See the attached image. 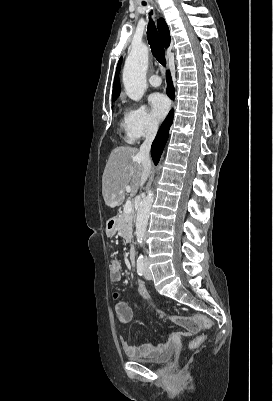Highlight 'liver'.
<instances>
[{
	"label": "liver",
	"instance_id": "liver-1",
	"mask_svg": "<svg viewBox=\"0 0 273 401\" xmlns=\"http://www.w3.org/2000/svg\"><path fill=\"white\" fill-rule=\"evenodd\" d=\"M143 164L138 148L116 146L113 148L102 176V194L107 207H119L125 198L126 186H131V196L138 190Z\"/></svg>",
	"mask_w": 273,
	"mask_h": 401
}]
</instances>
